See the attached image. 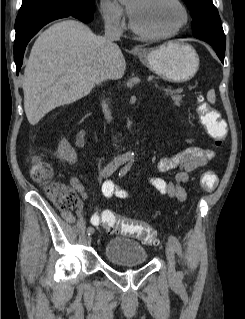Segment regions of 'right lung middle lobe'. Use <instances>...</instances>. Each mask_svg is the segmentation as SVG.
Masks as SVG:
<instances>
[{
    "label": "right lung middle lobe",
    "mask_w": 245,
    "mask_h": 319,
    "mask_svg": "<svg viewBox=\"0 0 245 319\" xmlns=\"http://www.w3.org/2000/svg\"><path fill=\"white\" fill-rule=\"evenodd\" d=\"M56 6L73 8L80 11L94 10V0H22L19 14Z\"/></svg>",
    "instance_id": "1"
}]
</instances>
